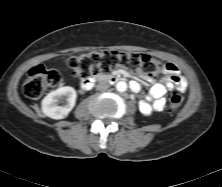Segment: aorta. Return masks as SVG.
Returning <instances> with one entry per match:
<instances>
[{
    "label": "aorta",
    "instance_id": "762f6f07",
    "mask_svg": "<svg viewBox=\"0 0 222 187\" xmlns=\"http://www.w3.org/2000/svg\"><path fill=\"white\" fill-rule=\"evenodd\" d=\"M116 89L117 91L119 92H125L127 90V83L124 82V81H119L117 84H116Z\"/></svg>",
    "mask_w": 222,
    "mask_h": 187
}]
</instances>
